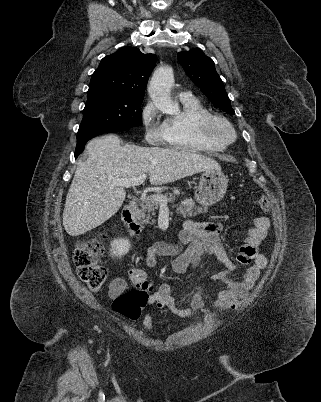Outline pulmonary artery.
<instances>
[{
  "label": "pulmonary artery",
  "instance_id": "obj_1",
  "mask_svg": "<svg viewBox=\"0 0 321 402\" xmlns=\"http://www.w3.org/2000/svg\"><path fill=\"white\" fill-rule=\"evenodd\" d=\"M178 96H179V98H180L181 100H183V99H188V98L192 97L189 92H185V91L179 92V93H178Z\"/></svg>",
  "mask_w": 321,
  "mask_h": 402
}]
</instances>
